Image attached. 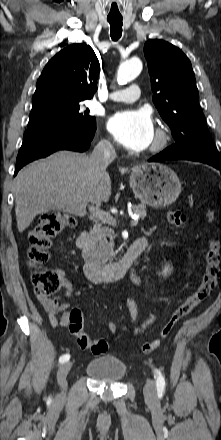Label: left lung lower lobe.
Returning <instances> with one entry per match:
<instances>
[{"instance_id":"obj_1","label":"left lung lower lobe","mask_w":221,"mask_h":440,"mask_svg":"<svg viewBox=\"0 0 221 440\" xmlns=\"http://www.w3.org/2000/svg\"><path fill=\"white\" fill-rule=\"evenodd\" d=\"M179 159L188 160V159L179 157V156L175 155L174 153H171L165 149L164 151H162L158 155L150 158L148 161L149 162H162V161H166V160H179ZM200 162L209 164L221 172V162H219V163H212V162H206V161H200Z\"/></svg>"}]
</instances>
